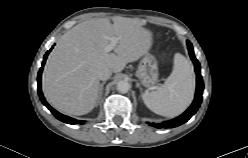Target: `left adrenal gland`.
Masks as SVG:
<instances>
[{
    "label": "left adrenal gland",
    "mask_w": 248,
    "mask_h": 158,
    "mask_svg": "<svg viewBox=\"0 0 248 158\" xmlns=\"http://www.w3.org/2000/svg\"><path fill=\"white\" fill-rule=\"evenodd\" d=\"M137 86L140 88V90H142V88H141V86H140V84H139V83L137 84Z\"/></svg>",
    "instance_id": "left-adrenal-gland-1"
}]
</instances>
